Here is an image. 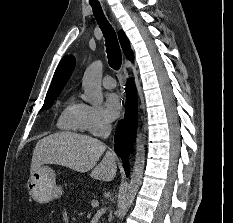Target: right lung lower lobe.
I'll return each instance as SVG.
<instances>
[{
    "label": "right lung lower lobe",
    "instance_id": "98d812e1",
    "mask_svg": "<svg viewBox=\"0 0 233 223\" xmlns=\"http://www.w3.org/2000/svg\"><path fill=\"white\" fill-rule=\"evenodd\" d=\"M128 93L126 102V113L124 121H120L115 133V151L123 159L125 172L129 173V164L127 160L128 149H130L135 140L137 128V97L135 87L131 80L127 82Z\"/></svg>",
    "mask_w": 233,
    "mask_h": 223
}]
</instances>
